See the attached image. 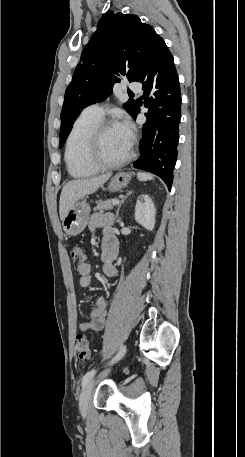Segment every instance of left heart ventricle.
Instances as JSON below:
<instances>
[{"label":"left heart ventricle","instance_id":"1","mask_svg":"<svg viewBox=\"0 0 245 457\" xmlns=\"http://www.w3.org/2000/svg\"><path fill=\"white\" fill-rule=\"evenodd\" d=\"M129 142L116 127L104 132L99 143H94L90 150L91 158L100 162L121 157L128 149Z\"/></svg>","mask_w":245,"mask_h":457}]
</instances>
